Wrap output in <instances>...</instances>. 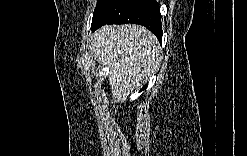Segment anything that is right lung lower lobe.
I'll return each mask as SVG.
<instances>
[{"instance_id":"obj_1","label":"right lung lower lobe","mask_w":247,"mask_h":156,"mask_svg":"<svg viewBox=\"0 0 247 156\" xmlns=\"http://www.w3.org/2000/svg\"><path fill=\"white\" fill-rule=\"evenodd\" d=\"M135 23L145 26L161 41V14L156 0H111L100 15L92 21L95 31L106 24Z\"/></svg>"}]
</instances>
